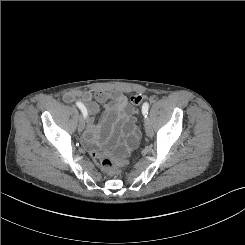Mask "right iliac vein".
Segmentation results:
<instances>
[{"label":"right iliac vein","instance_id":"1","mask_svg":"<svg viewBox=\"0 0 245 245\" xmlns=\"http://www.w3.org/2000/svg\"><path fill=\"white\" fill-rule=\"evenodd\" d=\"M85 127V119L81 116L78 123V131L82 132Z\"/></svg>","mask_w":245,"mask_h":245}]
</instances>
